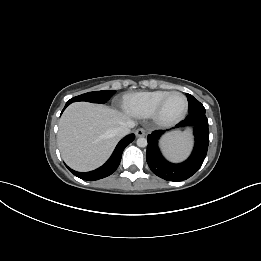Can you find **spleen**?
<instances>
[{
	"mask_svg": "<svg viewBox=\"0 0 261 261\" xmlns=\"http://www.w3.org/2000/svg\"><path fill=\"white\" fill-rule=\"evenodd\" d=\"M191 146L190 132L176 133L166 137L163 141V147L166 155L171 160L183 158Z\"/></svg>",
	"mask_w": 261,
	"mask_h": 261,
	"instance_id": "spleen-1",
	"label": "spleen"
}]
</instances>
